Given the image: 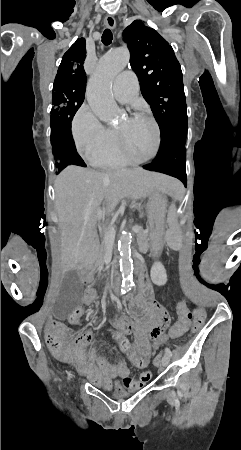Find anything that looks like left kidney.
<instances>
[{
  "label": "left kidney",
  "instance_id": "left-kidney-1",
  "mask_svg": "<svg viewBox=\"0 0 241 450\" xmlns=\"http://www.w3.org/2000/svg\"><path fill=\"white\" fill-rule=\"evenodd\" d=\"M150 276L153 284H156V286H164L167 282L166 270L160 262L153 264Z\"/></svg>",
  "mask_w": 241,
  "mask_h": 450
}]
</instances>
